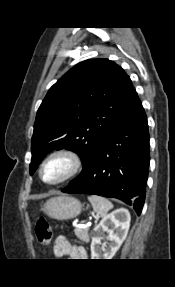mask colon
Listing matches in <instances>:
<instances>
[{
	"instance_id": "1",
	"label": "colon",
	"mask_w": 175,
	"mask_h": 287,
	"mask_svg": "<svg viewBox=\"0 0 175 287\" xmlns=\"http://www.w3.org/2000/svg\"><path fill=\"white\" fill-rule=\"evenodd\" d=\"M35 234L38 242L44 246L49 247L52 241V230L49 223L44 217H40L35 227Z\"/></svg>"
}]
</instances>
